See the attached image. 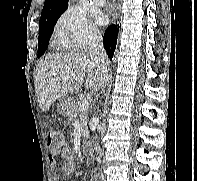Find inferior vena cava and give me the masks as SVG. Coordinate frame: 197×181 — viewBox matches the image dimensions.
<instances>
[{
    "label": "inferior vena cava",
    "instance_id": "1",
    "mask_svg": "<svg viewBox=\"0 0 197 181\" xmlns=\"http://www.w3.org/2000/svg\"><path fill=\"white\" fill-rule=\"evenodd\" d=\"M88 49L91 61L97 65L101 72H107L106 53L103 47V39L99 32L94 31L90 34ZM97 161L100 162V157H97Z\"/></svg>",
    "mask_w": 197,
    "mask_h": 181
}]
</instances>
